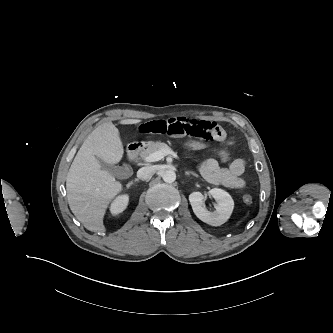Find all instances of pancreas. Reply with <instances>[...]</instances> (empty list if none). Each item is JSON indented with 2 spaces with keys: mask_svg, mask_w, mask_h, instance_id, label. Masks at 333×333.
I'll return each mask as SVG.
<instances>
[{
  "mask_svg": "<svg viewBox=\"0 0 333 333\" xmlns=\"http://www.w3.org/2000/svg\"><path fill=\"white\" fill-rule=\"evenodd\" d=\"M161 149H171L166 143L163 142H154L148 145V148L141 152V157L145 158L150 154L161 150Z\"/></svg>",
  "mask_w": 333,
  "mask_h": 333,
  "instance_id": "obj_1",
  "label": "pancreas"
}]
</instances>
